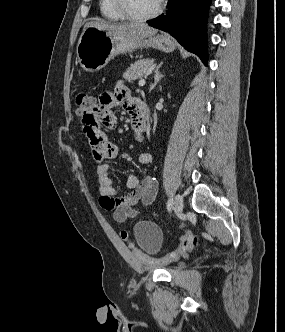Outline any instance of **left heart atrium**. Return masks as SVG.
Returning <instances> with one entry per match:
<instances>
[{"label": "left heart atrium", "mask_w": 285, "mask_h": 332, "mask_svg": "<svg viewBox=\"0 0 285 332\" xmlns=\"http://www.w3.org/2000/svg\"><path fill=\"white\" fill-rule=\"evenodd\" d=\"M158 1V3L160 4L163 0H157Z\"/></svg>", "instance_id": "39dd6f15"}]
</instances>
